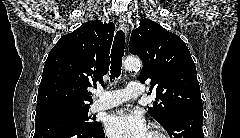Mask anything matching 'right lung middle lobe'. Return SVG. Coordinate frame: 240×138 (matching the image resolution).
Masks as SVG:
<instances>
[{
	"mask_svg": "<svg viewBox=\"0 0 240 138\" xmlns=\"http://www.w3.org/2000/svg\"><path fill=\"white\" fill-rule=\"evenodd\" d=\"M89 107L82 108H67L47 112L35 116V125L57 120L64 119L72 121L85 129H93L100 125L99 122L93 121L94 119L88 116Z\"/></svg>",
	"mask_w": 240,
	"mask_h": 138,
	"instance_id": "dd1d6c3e",
	"label": "right lung middle lobe"
}]
</instances>
